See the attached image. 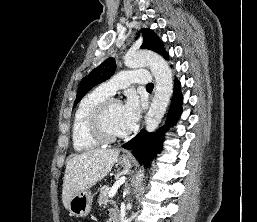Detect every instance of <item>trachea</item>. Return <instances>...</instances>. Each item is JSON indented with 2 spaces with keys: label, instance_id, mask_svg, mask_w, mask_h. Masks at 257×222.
I'll return each instance as SVG.
<instances>
[{
  "label": "trachea",
  "instance_id": "trachea-1",
  "mask_svg": "<svg viewBox=\"0 0 257 222\" xmlns=\"http://www.w3.org/2000/svg\"><path fill=\"white\" fill-rule=\"evenodd\" d=\"M154 85L152 83L147 84L146 88L153 89Z\"/></svg>",
  "mask_w": 257,
  "mask_h": 222
}]
</instances>
